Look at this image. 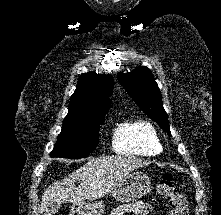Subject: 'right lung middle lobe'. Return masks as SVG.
<instances>
[{
	"label": "right lung middle lobe",
	"mask_w": 221,
	"mask_h": 215,
	"mask_svg": "<svg viewBox=\"0 0 221 215\" xmlns=\"http://www.w3.org/2000/svg\"><path fill=\"white\" fill-rule=\"evenodd\" d=\"M103 118L67 115L51 157L79 159L87 157L96 147L99 124Z\"/></svg>",
	"instance_id": "dd1d6c3e"
}]
</instances>
